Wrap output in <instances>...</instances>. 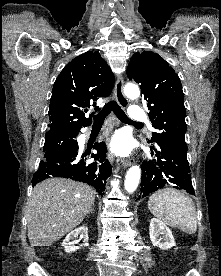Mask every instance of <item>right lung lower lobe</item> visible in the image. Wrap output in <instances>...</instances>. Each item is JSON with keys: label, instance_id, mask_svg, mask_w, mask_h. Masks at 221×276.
I'll return each instance as SVG.
<instances>
[{"label": "right lung lower lobe", "instance_id": "obj_1", "mask_svg": "<svg viewBox=\"0 0 221 276\" xmlns=\"http://www.w3.org/2000/svg\"><path fill=\"white\" fill-rule=\"evenodd\" d=\"M97 154H91V158L98 162L86 163L88 153H79L78 145L71 151L53 154L45 157L39 164V170L34 173L32 186L50 176L70 178L82 181L95 187L99 194L105 190L106 179L111 175L112 167L109 161L105 160L106 145L104 142H96L94 147Z\"/></svg>", "mask_w": 221, "mask_h": 276}]
</instances>
